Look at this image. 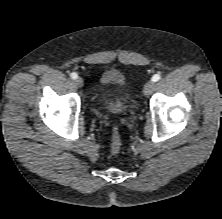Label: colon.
Returning a JSON list of instances; mask_svg holds the SVG:
<instances>
[{"label": "colon", "mask_w": 222, "mask_h": 219, "mask_svg": "<svg viewBox=\"0 0 222 219\" xmlns=\"http://www.w3.org/2000/svg\"><path fill=\"white\" fill-rule=\"evenodd\" d=\"M122 146V141H121V137L118 133L117 130H114L113 134H112V139H111V151L114 154H117Z\"/></svg>", "instance_id": "5ec220e1"}]
</instances>
